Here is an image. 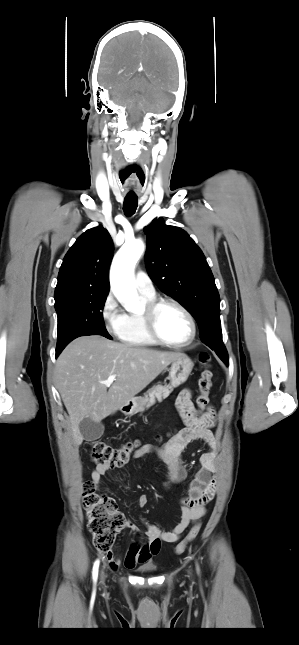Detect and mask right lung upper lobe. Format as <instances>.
I'll use <instances>...</instances> for the list:
<instances>
[{
    "label": "right lung upper lobe",
    "instance_id": "cb5924a9",
    "mask_svg": "<svg viewBox=\"0 0 299 645\" xmlns=\"http://www.w3.org/2000/svg\"><path fill=\"white\" fill-rule=\"evenodd\" d=\"M113 241L102 226L87 230L64 257L55 289V304L75 295L108 294Z\"/></svg>",
    "mask_w": 299,
    "mask_h": 645
}]
</instances>
